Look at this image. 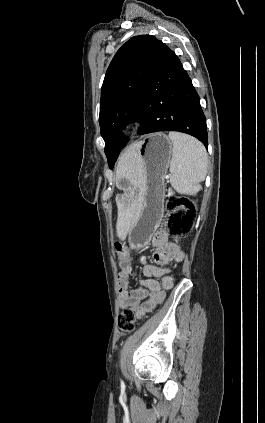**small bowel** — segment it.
Segmentation results:
<instances>
[{
	"label": "small bowel",
	"instance_id": "small-bowel-1",
	"mask_svg": "<svg viewBox=\"0 0 265 423\" xmlns=\"http://www.w3.org/2000/svg\"><path fill=\"white\" fill-rule=\"evenodd\" d=\"M152 245L156 248L152 254L153 263H147L141 257L143 274L146 277L139 281L140 287L129 288V278L132 273L130 254L125 262H120L118 273L119 307L121 310L129 309L138 319L152 312L163 302L166 291L173 287L174 279L166 265L170 262H182L185 253L176 243L168 241L163 229L157 230L152 237ZM160 279V280H158Z\"/></svg>",
	"mask_w": 265,
	"mask_h": 423
}]
</instances>
